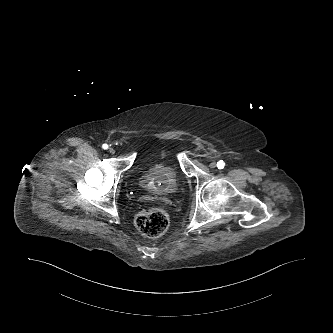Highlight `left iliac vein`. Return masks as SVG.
I'll return each mask as SVG.
<instances>
[{
  "label": "left iliac vein",
  "instance_id": "1",
  "mask_svg": "<svg viewBox=\"0 0 333 333\" xmlns=\"http://www.w3.org/2000/svg\"><path fill=\"white\" fill-rule=\"evenodd\" d=\"M210 168H215L216 167V163L215 162H211L210 165H209Z\"/></svg>",
  "mask_w": 333,
  "mask_h": 333
}]
</instances>
